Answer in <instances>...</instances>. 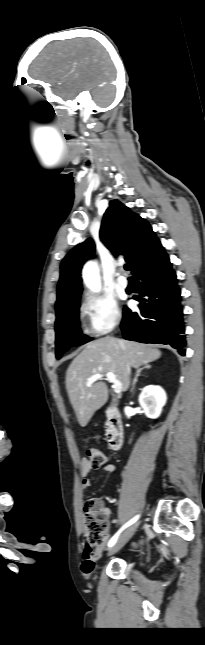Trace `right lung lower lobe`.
<instances>
[{"instance_id": "obj_1", "label": "right lung lower lobe", "mask_w": 205, "mask_h": 645, "mask_svg": "<svg viewBox=\"0 0 205 645\" xmlns=\"http://www.w3.org/2000/svg\"><path fill=\"white\" fill-rule=\"evenodd\" d=\"M134 278L140 289L139 312L124 307V339L167 344L185 355V323L181 291L168 255L139 270Z\"/></svg>"}]
</instances>
